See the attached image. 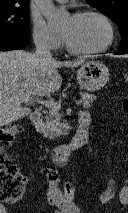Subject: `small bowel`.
I'll return each instance as SVG.
<instances>
[{"label": "small bowel", "mask_w": 128, "mask_h": 213, "mask_svg": "<svg viewBox=\"0 0 128 213\" xmlns=\"http://www.w3.org/2000/svg\"><path fill=\"white\" fill-rule=\"evenodd\" d=\"M83 116H89V113L83 111L80 113ZM40 172L45 175L48 182L47 204L54 207L53 213H80L75 204L67 205L65 203L62 191L59 187L60 175L54 167H43ZM0 213H9L5 204L0 202Z\"/></svg>", "instance_id": "small-bowel-1"}]
</instances>
